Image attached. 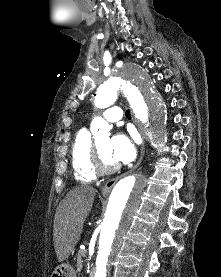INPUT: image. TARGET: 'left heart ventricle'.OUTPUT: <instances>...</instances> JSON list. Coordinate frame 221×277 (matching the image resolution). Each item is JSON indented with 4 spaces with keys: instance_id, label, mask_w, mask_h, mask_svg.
I'll return each mask as SVG.
<instances>
[{
    "instance_id": "obj_1",
    "label": "left heart ventricle",
    "mask_w": 221,
    "mask_h": 277,
    "mask_svg": "<svg viewBox=\"0 0 221 277\" xmlns=\"http://www.w3.org/2000/svg\"><path fill=\"white\" fill-rule=\"evenodd\" d=\"M109 145H110V140L108 138L102 139L97 142V146L100 150L103 162L106 165L111 166V165L116 164V162L114 161V159L112 158V156L110 154Z\"/></svg>"
}]
</instances>
